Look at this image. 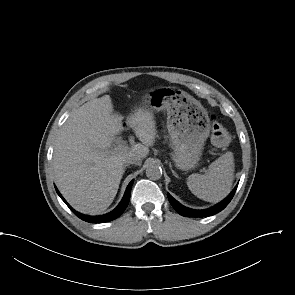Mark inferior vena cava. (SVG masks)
I'll list each match as a JSON object with an SVG mask.
<instances>
[{"label":"inferior vena cava","mask_w":295,"mask_h":295,"mask_svg":"<svg viewBox=\"0 0 295 295\" xmlns=\"http://www.w3.org/2000/svg\"><path fill=\"white\" fill-rule=\"evenodd\" d=\"M141 157L137 154L134 153H129L125 159H124V164H136L140 165L141 164Z\"/></svg>","instance_id":"602c4592"}]
</instances>
